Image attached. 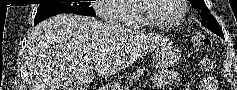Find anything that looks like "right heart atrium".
I'll return each mask as SVG.
<instances>
[{"mask_svg": "<svg viewBox=\"0 0 237 90\" xmlns=\"http://www.w3.org/2000/svg\"><path fill=\"white\" fill-rule=\"evenodd\" d=\"M114 3H121V0H97V2H92L93 6H90V9L93 12H98V16L101 20H111V17L108 13L109 8L105 6H113Z\"/></svg>", "mask_w": 237, "mask_h": 90, "instance_id": "right-heart-atrium-1", "label": "right heart atrium"}]
</instances>
